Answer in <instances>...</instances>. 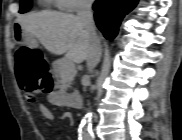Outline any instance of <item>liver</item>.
<instances>
[{
  "instance_id": "liver-1",
  "label": "liver",
  "mask_w": 182,
  "mask_h": 140,
  "mask_svg": "<svg viewBox=\"0 0 182 140\" xmlns=\"http://www.w3.org/2000/svg\"><path fill=\"white\" fill-rule=\"evenodd\" d=\"M24 38L34 37L51 53L81 63L90 51V38L77 16L56 11L30 13L18 18ZM100 39V38H99Z\"/></svg>"
}]
</instances>
